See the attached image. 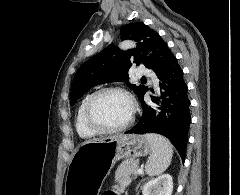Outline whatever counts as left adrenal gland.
<instances>
[{
    "instance_id": "obj_1",
    "label": "left adrenal gland",
    "mask_w": 240,
    "mask_h": 195,
    "mask_svg": "<svg viewBox=\"0 0 240 195\" xmlns=\"http://www.w3.org/2000/svg\"><path fill=\"white\" fill-rule=\"evenodd\" d=\"M142 181H145V179H141V181H139V183H138V185H137V187H136V191H138V189H139V187H140Z\"/></svg>"
}]
</instances>
